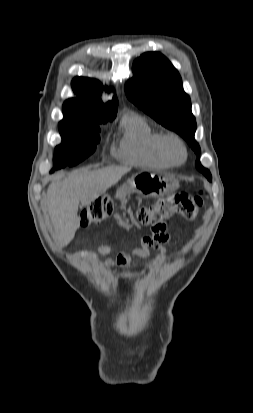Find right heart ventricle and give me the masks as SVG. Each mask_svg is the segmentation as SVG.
I'll return each instance as SVG.
<instances>
[{"mask_svg":"<svg viewBox=\"0 0 253 413\" xmlns=\"http://www.w3.org/2000/svg\"><path fill=\"white\" fill-rule=\"evenodd\" d=\"M122 127L124 134L115 152L118 158L139 166L169 168L175 165L164 152L163 135L145 118L127 115Z\"/></svg>","mask_w":253,"mask_h":413,"instance_id":"e07e8e85","label":"right heart ventricle"}]
</instances>
